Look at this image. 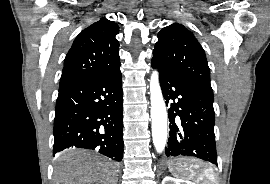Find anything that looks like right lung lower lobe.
<instances>
[{
  "label": "right lung lower lobe",
  "instance_id": "1",
  "mask_svg": "<svg viewBox=\"0 0 270 184\" xmlns=\"http://www.w3.org/2000/svg\"><path fill=\"white\" fill-rule=\"evenodd\" d=\"M120 68L60 85L54 119L53 155L69 147L123 157V99Z\"/></svg>",
  "mask_w": 270,
  "mask_h": 184
}]
</instances>
